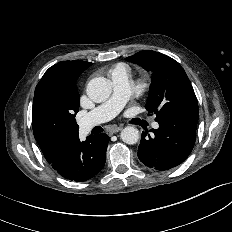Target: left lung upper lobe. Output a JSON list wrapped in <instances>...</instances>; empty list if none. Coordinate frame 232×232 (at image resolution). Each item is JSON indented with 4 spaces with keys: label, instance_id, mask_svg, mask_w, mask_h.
<instances>
[{
    "label": "left lung upper lobe",
    "instance_id": "1",
    "mask_svg": "<svg viewBox=\"0 0 232 232\" xmlns=\"http://www.w3.org/2000/svg\"><path fill=\"white\" fill-rule=\"evenodd\" d=\"M152 72V81L146 103L156 121L168 115H198L194 90L181 65L169 56L145 50L126 58Z\"/></svg>",
    "mask_w": 232,
    "mask_h": 232
}]
</instances>
